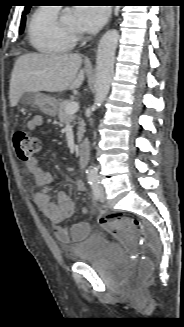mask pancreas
I'll use <instances>...</instances> for the list:
<instances>
[{"label": "pancreas", "mask_w": 184, "mask_h": 327, "mask_svg": "<svg viewBox=\"0 0 184 327\" xmlns=\"http://www.w3.org/2000/svg\"><path fill=\"white\" fill-rule=\"evenodd\" d=\"M70 101L69 100H64L60 103L59 105V109H58V117H59V120L61 123H64V124H68V123H72L74 122V120L76 119V115L72 114H67L66 113V105L69 103ZM79 127H78V133H77V136H78V142H80V140L82 139V136H83V133L85 131V123L83 120H81L79 118ZM75 123V122H74Z\"/></svg>", "instance_id": "obj_1"}]
</instances>
